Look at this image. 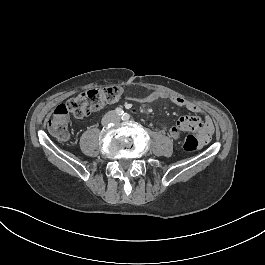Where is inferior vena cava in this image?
<instances>
[{"label":"inferior vena cava","mask_w":265,"mask_h":265,"mask_svg":"<svg viewBox=\"0 0 265 265\" xmlns=\"http://www.w3.org/2000/svg\"><path fill=\"white\" fill-rule=\"evenodd\" d=\"M115 117L119 120L118 116L115 114Z\"/></svg>","instance_id":"602c4592"}]
</instances>
